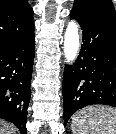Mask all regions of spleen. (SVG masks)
<instances>
[{"instance_id": "3e777b00", "label": "spleen", "mask_w": 116, "mask_h": 134, "mask_svg": "<svg viewBox=\"0 0 116 134\" xmlns=\"http://www.w3.org/2000/svg\"><path fill=\"white\" fill-rule=\"evenodd\" d=\"M73 134H116V109L106 106H90L77 112L72 118Z\"/></svg>"}]
</instances>
